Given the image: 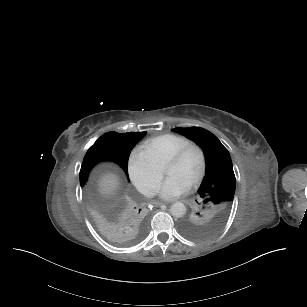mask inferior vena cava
<instances>
[{
  "label": "inferior vena cava",
  "mask_w": 307,
  "mask_h": 307,
  "mask_svg": "<svg viewBox=\"0 0 307 307\" xmlns=\"http://www.w3.org/2000/svg\"><path fill=\"white\" fill-rule=\"evenodd\" d=\"M142 193L147 196V197H152L154 195V191L152 189L149 188H144V190L142 191Z\"/></svg>",
  "instance_id": "1"
}]
</instances>
